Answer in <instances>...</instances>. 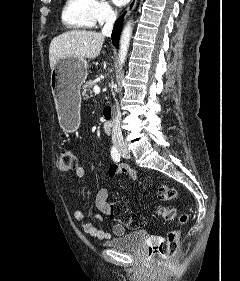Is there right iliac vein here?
<instances>
[{"mask_svg": "<svg viewBox=\"0 0 240 281\" xmlns=\"http://www.w3.org/2000/svg\"><path fill=\"white\" fill-rule=\"evenodd\" d=\"M120 153H126L127 152V149L125 147H119L118 148Z\"/></svg>", "mask_w": 240, "mask_h": 281, "instance_id": "63e3f726", "label": "right iliac vein"}]
</instances>
